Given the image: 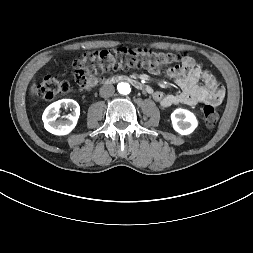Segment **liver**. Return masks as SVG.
I'll list each match as a JSON object with an SVG mask.
<instances>
[{"label":"liver","instance_id":"obj_1","mask_svg":"<svg viewBox=\"0 0 253 253\" xmlns=\"http://www.w3.org/2000/svg\"><path fill=\"white\" fill-rule=\"evenodd\" d=\"M36 85L35 84H33V86H32V93H34V87H35Z\"/></svg>","mask_w":253,"mask_h":253}]
</instances>
